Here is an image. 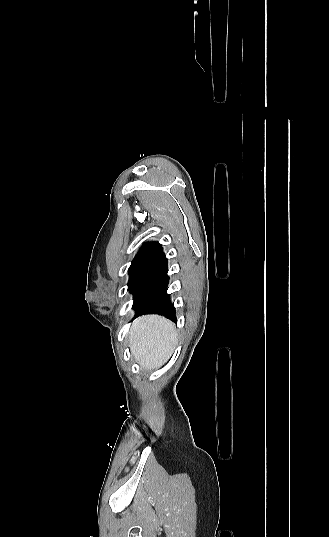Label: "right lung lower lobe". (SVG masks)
<instances>
[{
    "label": "right lung lower lobe",
    "instance_id": "obj_1",
    "mask_svg": "<svg viewBox=\"0 0 329 537\" xmlns=\"http://www.w3.org/2000/svg\"><path fill=\"white\" fill-rule=\"evenodd\" d=\"M167 258L164 256L149 264L130 288L134 295L136 317L142 314H162L176 321L175 308L167 294L169 283Z\"/></svg>",
    "mask_w": 329,
    "mask_h": 537
}]
</instances>
